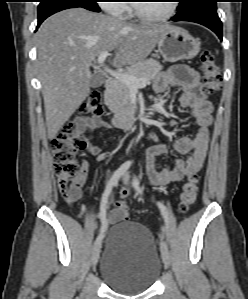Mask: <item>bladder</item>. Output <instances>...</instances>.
<instances>
[{"label":"bladder","instance_id":"31cf9c89","mask_svg":"<svg viewBox=\"0 0 248 299\" xmlns=\"http://www.w3.org/2000/svg\"><path fill=\"white\" fill-rule=\"evenodd\" d=\"M154 237L144 226L121 221L108 232L100 260V276L122 294L147 291L161 273Z\"/></svg>","mask_w":248,"mask_h":299}]
</instances>
